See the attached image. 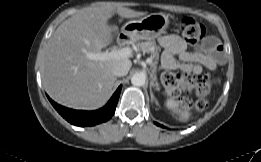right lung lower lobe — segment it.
I'll return each mask as SVG.
<instances>
[{
	"mask_svg": "<svg viewBox=\"0 0 261 162\" xmlns=\"http://www.w3.org/2000/svg\"><path fill=\"white\" fill-rule=\"evenodd\" d=\"M120 91L121 86L118 87L109 102L103 108L95 111H82L66 108L55 103L52 99L49 98V96L47 97L53 107L63 118H65L68 122L75 126L84 127L94 126L96 124L109 120L115 112L116 105L120 96Z\"/></svg>",
	"mask_w": 261,
	"mask_h": 162,
	"instance_id": "98d812e1",
	"label": "right lung lower lobe"
}]
</instances>
